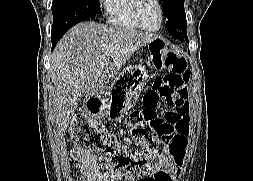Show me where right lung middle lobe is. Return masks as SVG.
I'll return each mask as SVG.
<instances>
[{
  "label": "right lung middle lobe",
  "mask_w": 253,
  "mask_h": 181,
  "mask_svg": "<svg viewBox=\"0 0 253 181\" xmlns=\"http://www.w3.org/2000/svg\"><path fill=\"white\" fill-rule=\"evenodd\" d=\"M51 37L66 32L75 24L101 13L99 0H53Z\"/></svg>",
  "instance_id": "dd1d6c3e"
}]
</instances>
